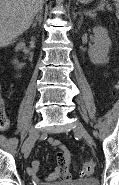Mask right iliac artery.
<instances>
[{"label":"right iliac artery","instance_id":"right-iliac-artery-1","mask_svg":"<svg viewBox=\"0 0 119 185\" xmlns=\"http://www.w3.org/2000/svg\"><path fill=\"white\" fill-rule=\"evenodd\" d=\"M27 140L24 142L23 146H22V151L24 150L25 146H26Z\"/></svg>","mask_w":119,"mask_h":185}]
</instances>
